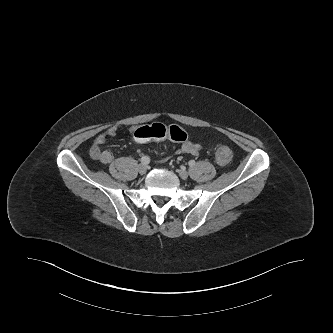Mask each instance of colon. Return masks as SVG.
<instances>
[{
  "label": "colon",
  "mask_w": 333,
  "mask_h": 333,
  "mask_svg": "<svg viewBox=\"0 0 333 333\" xmlns=\"http://www.w3.org/2000/svg\"><path fill=\"white\" fill-rule=\"evenodd\" d=\"M134 137L141 142L149 140H161L169 138L173 141L183 142L187 139L186 132L176 125L166 126L161 123L145 125L137 128ZM215 158L219 164H227L232 159V151L224 145H217L215 149Z\"/></svg>",
  "instance_id": "obj_1"
}]
</instances>
